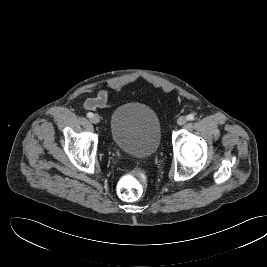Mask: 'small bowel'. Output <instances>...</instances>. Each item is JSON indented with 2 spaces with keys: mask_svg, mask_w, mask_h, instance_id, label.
Listing matches in <instances>:
<instances>
[{
  "mask_svg": "<svg viewBox=\"0 0 267 267\" xmlns=\"http://www.w3.org/2000/svg\"><path fill=\"white\" fill-rule=\"evenodd\" d=\"M108 106H110L108 91L104 88L100 89L95 97L87 98L83 103L84 109L89 111Z\"/></svg>",
  "mask_w": 267,
  "mask_h": 267,
  "instance_id": "c3829d8e",
  "label": "small bowel"
}]
</instances>
